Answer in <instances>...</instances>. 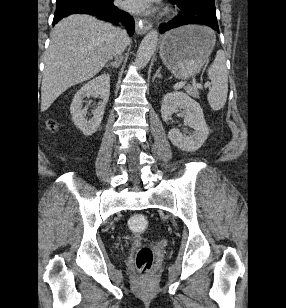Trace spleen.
I'll return each instance as SVG.
<instances>
[{"instance_id": "1", "label": "spleen", "mask_w": 286, "mask_h": 308, "mask_svg": "<svg viewBox=\"0 0 286 308\" xmlns=\"http://www.w3.org/2000/svg\"><path fill=\"white\" fill-rule=\"evenodd\" d=\"M207 75L212 85L207 94V100L210 107L218 111L224 107L228 94V74L222 50L217 51L213 63L207 70Z\"/></svg>"}]
</instances>
